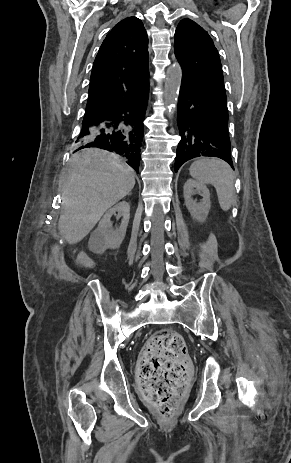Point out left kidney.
Segmentation results:
<instances>
[{
  "mask_svg": "<svg viewBox=\"0 0 291 463\" xmlns=\"http://www.w3.org/2000/svg\"><path fill=\"white\" fill-rule=\"evenodd\" d=\"M196 193H200L203 197L201 202H197L192 198ZM184 199L192 218L199 222H204L211 207L209 189L204 184L189 179L184 185Z\"/></svg>",
  "mask_w": 291,
  "mask_h": 463,
  "instance_id": "obj_1",
  "label": "left kidney"
}]
</instances>
